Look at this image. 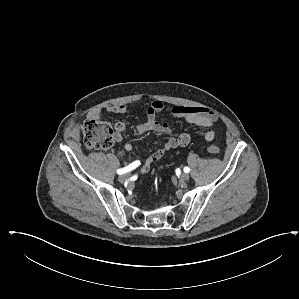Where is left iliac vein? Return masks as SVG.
<instances>
[{"label": "left iliac vein", "mask_w": 299, "mask_h": 299, "mask_svg": "<svg viewBox=\"0 0 299 299\" xmlns=\"http://www.w3.org/2000/svg\"><path fill=\"white\" fill-rule=\"evenodd\" d=\"M189 174L187 173H182L179 177L180 181L184 182V181H187L189 179Z\"/></svg>", "instance_id": "4c4485c4"}]
</instances>
